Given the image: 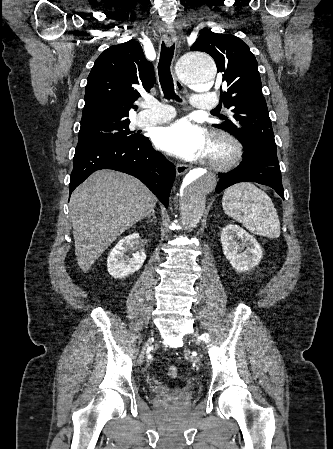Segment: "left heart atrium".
Returning <instances> with one entry per match:
<instances>
[{
	"instance_id": "left-heart-atrium-1",
	"label": "left heart atrium",
	"mask_w": 333,
	"mask_h": 449,
	"mask_svg": "<svg viewBox=\"0 0 333 449\" xmlns=\"http://www.w3.org/2000/svg\"><path fill=\"white\" fill-rule=\"evenodd\" d=\"M154 141L163 151L188 161L204 157L211 151L207 132L187 119L157 129Z\"/></svg>"
}]
</instances>
